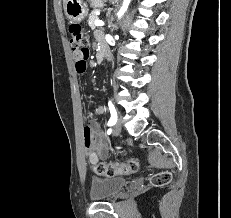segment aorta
<instances>
[{
    "label": "aorta",
    "mask_w": 231,
    "mask_h": 218,
    "mask_svg": "<svg viewBox=\"0 0 231 218\" xmlns=\"http://www.w3.org/2000/svg\"><path fill=\"white\" fill-rule=\"evenodd\" d=\"M130 1L131 0H124L123 1L122 8H121L120 12L118 13L119 17H121L125 13V11L127 10L128 6L130 4Z\"/></svg>",
    "instance_id": "1"
}]
</instances>
